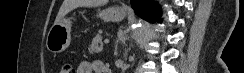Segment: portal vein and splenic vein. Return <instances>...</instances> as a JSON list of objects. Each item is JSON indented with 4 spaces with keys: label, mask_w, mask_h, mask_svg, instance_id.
I'll list each match as a JSON object with an SVG mask.
<instances>
[{
    "label": "portal vein and splenic vein",
    "mask_w": 244,
    "mask_h": 73,
    "mask_svg": "<svg viewBox=\"0 0 244 73\" xmlns=\"http://www.w3.org/2000/svg\"><path fill=\"white\" fill-rule=\"evenodd\" d=\"M104 43H105V44H108V43H109V39H105V40H104Z\"/></svg>",
    "instance_id": "portal-vein-and-splenic-vein-1"
}]
</instances>
